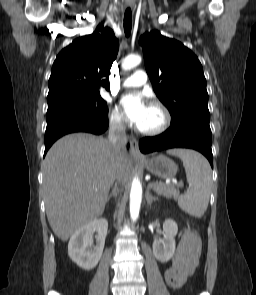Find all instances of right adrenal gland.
Returning <instances> with one entry per match:
<instances>
[{
	"instance_id": "2a0ac1e0",
	"label": "right adrenal gland",
	"mask_w": 256,
	"mask_h": 295,
	"mask_svg": "<svg viewBox=\"0 0 256 295\" xmlns=\"http://www.w3.org/2000/svg\"><path fill=\"white\" fill-rule=\"evenodd\" d=\"M116 196H117V184L115 183L114 188H113V190H112V193L109 194V196L107 197L106 202H109V200H110L111 198H116Z\"/></svg>"
}]
</instances>
